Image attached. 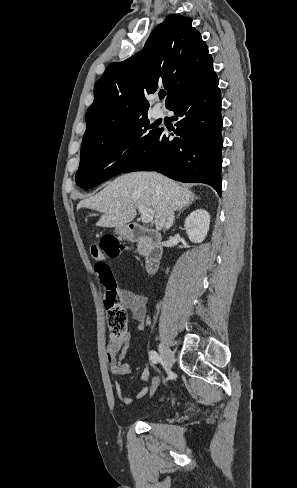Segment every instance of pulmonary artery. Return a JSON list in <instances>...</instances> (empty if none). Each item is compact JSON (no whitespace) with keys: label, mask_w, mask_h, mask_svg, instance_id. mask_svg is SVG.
<instances>
[{"label":"pulmonary artery","mask_w":297,"mask_h":488,"mask_svg":"<svg viewBox=\"0 0 297 488\" xmlns=\"http://www.w3.org/2000/svg\"><path fill=\"white\" fill-rule=\"evenodd\" d=\"M160 115H161V111H160V109H159V108H156V109L154 110V116H155V117H159Z\"/></svg>","instance_id":"e3ab8cb5"}]
</instances>
